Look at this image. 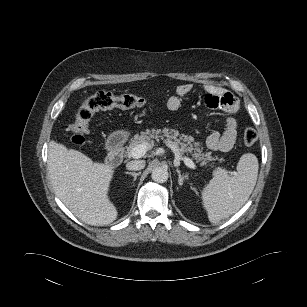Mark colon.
Here are the masks:
<instances>
[{
	"instance_id": "obj_1",
	"label": "colon",
	"mask_w": 307,
	"mask_h": 307,
	"mask_svg": "<svg viewBox=\"0 0 307 307\" xmlns=\"http://www.w3.org/2000/svg\"><path fill=\"white\" fill-rule=\"evenodd\" d=\"M144 104V98L135 94L114 95L107 91H97L80 105L73 121L66 125L71 142L76 145H83L86 142L90 120L97 112L113 108L124 110L139 108ZM257 138V132L252 128H247L243 133L246 145H253Z\"/></svg>"
}]
</instances>
